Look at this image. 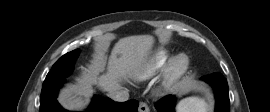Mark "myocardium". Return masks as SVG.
I'll return each mask as SVG.
<instances>
[{
	"label": "myocardium",
	"mask_w": 270,
	"mask_h": 112,
	"mask_svg": "<svg viewBox=\"0 0 270 112\" xmlns=\"http://www.w3.org/2000/svg\"><path fill=\"white\" fill-rule=\"evenodd\" d=\"M189 67L190 59L186 54L180 53L172 57L161 75V87L167 89L176 84L187 73Z\"/></svg>",
	"instance_id": "obj_1"
}]
</instances>
